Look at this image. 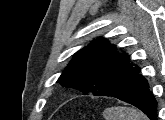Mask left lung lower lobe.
Masks as SVG:
<instances>
[{"instance_id":"left-lung-lower-lobe-1","label":"left lung lower lobe","mask_w":165,"mask_h":120,"mask_svg":"<svg viewBox=\"0 0 165 120\" xmlns=\"http://www.w3.org/2000/svg\"><path fill=\"white\" fill-rule=\"evenodd\" d=\"M139 72L140 68L131 64L122 83L107 96L130 103L143 111L150 120H157V102L149 90L147 80Z\"/></svg>"}]
</instances>
